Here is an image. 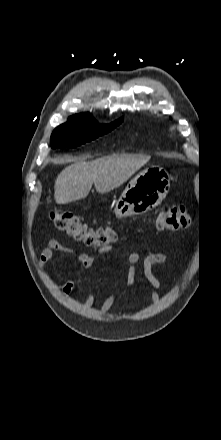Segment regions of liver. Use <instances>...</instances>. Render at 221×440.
<instances>
[{
    "instance_id": "6515ba94",
    "label": "liver",
    "mask_w": 221,
    "mask_h": 440,
    "mask_svg": "<svg viewBox=\"0 0 221 440\" xmlns=\"http://www.w3.org/2000/svg\"><path fill=\"white\" fill-rule=\"evenodd\" d=\"M148 156L113 155L93 161H74L56 178L54 198L57 204L84 199L94 184L98 193L121 186L149 161Z\"/></svg>"
}]
</instances>
